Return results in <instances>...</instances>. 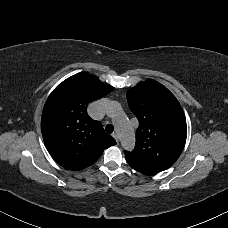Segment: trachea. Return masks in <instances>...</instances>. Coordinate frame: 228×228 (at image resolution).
I'll return each instance as SVG.
<instances>
[{
	"mask_svg": "<svg viewBox=\"0 0 228 228\" xmlns=\"http://www.w3.org/2000/svg\"><path fill=\"white\" fill-rule=\"evenodd\" d=\"M105 130L107 133L111 134L114 131V127L112 124H107Z\"/></svg>",
	"mask_w": 228,
	"mask_h": 228,
	"instance_id": "1",
	"label": "trachea"
}]
</instances>
